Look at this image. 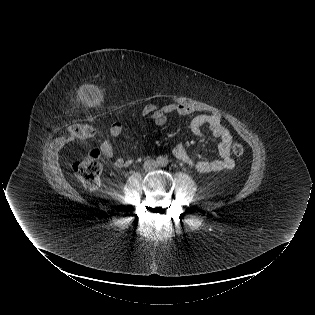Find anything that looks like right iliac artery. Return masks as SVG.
<instances>
[{"label":"right iliac artery","instance_id":"obj_1","mask_svg":"<svg viewBox=\"0 0 315 315\" xmlns=\"http://www.w3.org/2000/svg\"><path fill=\"white\" fill-rule=\"evenodd\" d=\"M157 162H158V163H160V162H161L160 158H158V159H157Z\"/></svg>","mask_w":315,"mask_h":315}]
</instances>
